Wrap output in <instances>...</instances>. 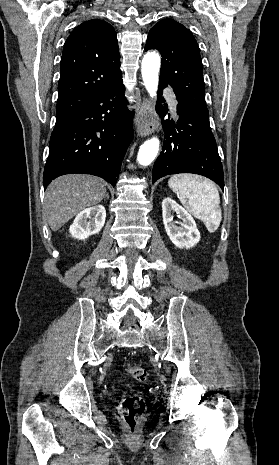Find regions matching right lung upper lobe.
Returning a JSON list of instances; mask_svg holds the SVG:
<instances>
[{"instance_id":"obj_1","label":"right lung upper lobe","mask_w":279,"mask_h":465,"mask_svg":"<svg viewBox=\"0 0 279 465\" xmlns=\"http://www.w3.org/2000/svg\"><path fill=\"white\" fill-rule=\"evenodd\" d=\"M122 80L117 35L98 19L77 26L65 42L60 64L56 125Z\"/></svg>"}]
</instances>
